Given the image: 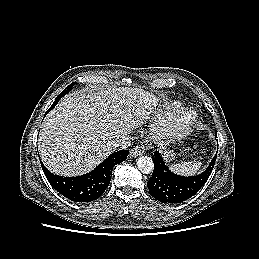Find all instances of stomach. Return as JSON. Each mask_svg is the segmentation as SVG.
Segmentation results:
<instances>
[{
    "instance_id": "obj_1",
    "label": "stomach",
    "mask_w": 259,
    "mask_h": 259,
    "mask_svg": "<svg viewBox=\"0 0 259 259\" xmlns=\"http://www.w3.org/2000/svg\"><path fill=\"white\" fill-rule=\"evenodd\" d=\"M167 160L171 161L175 158V154L171 152H165Z\"/></svg>"
}]
</instances>
